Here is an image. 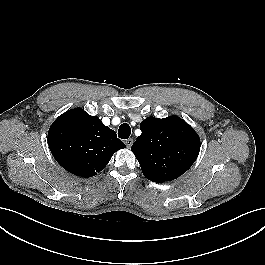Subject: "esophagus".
Masks as SVG:
<instances>
[{
  "mask_svg": "<svg viewBox=\"0 0 265 265\" xmlns=\"http://www.w3.org/2000/svg\"><path fill=\"white\" fill-rule=\"evenodd\" d=\"M125 144L127 146V148H130L133 144V139L132 138H129L125 141Z\"/></svg>",
  "mask_w": 265,
  "mask_h": 265,
  "instance_id": "1",
  "label": "esophagus"
}]
</instances>
